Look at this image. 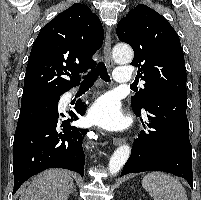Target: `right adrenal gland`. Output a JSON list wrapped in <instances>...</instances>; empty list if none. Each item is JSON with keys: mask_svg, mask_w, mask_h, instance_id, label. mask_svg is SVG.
Wrapping results in <instances>:
<instances>
[{"mask_svg": "<svg viewBox=\"0 0 201 200\" xmlns=\"http://www.w3.org/2000/svg\"><path fill=\"white\" fill-rule=\"evenodd\" d=\"M74 191H76V187H75V186H74L73 189H72V193H73Z\"/></svg>", "mask_w": 201, "mask_h": 200, "instance_id": "right-adrenal-gland-1", "label": "right adrenal gland"}]
</instances>
